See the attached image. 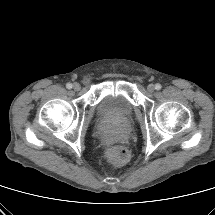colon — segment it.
<instances>
[{
	"mask_svg": "<svg viewBox=\"0 0 215 215\" xmlns=\"http://www.w3.org/2000/svg\"><path fill=\"white\" fill-rule=\"evenodd\" d=\"M106 158L114 165H123L129 159V152L123 146H112L106 150Z\"/></svg>",
	"mask_w": 215,
	"mask_h": 215,
	"instance_id": "5ec220e1",
	"label": "colon"
}]
</instances>
